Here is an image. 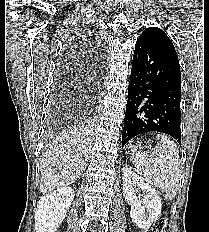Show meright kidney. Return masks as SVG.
I'll return each mask as SVG.
<instances>
[{
    "mask_svg": "<svg viewBox=\"0 0 209 232\" xmlns=\"http://www.w3.org/2000/svg\"><path fill=\"white\" fill-rule=\"evenodd\" d=\"M74 197L75 191L68 186L60 187L44 195L35 211V231H56L66 217Z\"/></svg>",
    "mask_w": 209,
    "mask_h": 232,
    "instance_id": "obj_1",
    "label": "right kidney"
}]
</instances>
